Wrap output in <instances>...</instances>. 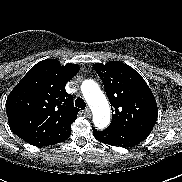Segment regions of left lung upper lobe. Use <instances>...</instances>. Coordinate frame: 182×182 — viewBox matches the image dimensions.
Listing matches in <instances>:
<instances>
[{
  "label": "left lung upper lobe",
  "mask_w": 182,
  "mask_h": 182,
  "mask_svg": "<svg viewBox=\"0 0 182 182\" xmlns=\"http://www.w3.org/2000/svg\"><path fill=\"white\" fill-rule=\"evenodd\" d=\"M94 70L103 82L112 108L109 128L147 137L158 115L155 97L142 76L119 61L95 63Z\"/></svg>",
  "instance_id": "1"
}]
</instances>
